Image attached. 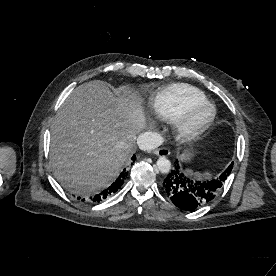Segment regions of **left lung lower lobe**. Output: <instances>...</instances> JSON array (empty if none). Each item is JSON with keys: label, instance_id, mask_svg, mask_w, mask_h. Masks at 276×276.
I'll return each mask as SVG.
<instances>
[{"label": "left lung lower lobe", "instance_id": "1", "mask_svg": "<svg viewBox=\"0 0 276 276\" xmlns=\"http://www.w3.org/2000/svg\"><path fill=\"white\" fill-rule=\"evenodd\" d=\"M232 167L233 162L216 179L197 181L188 173L180 171L177 162L164 180L163 189L176 206L193 210L209 203L217 196Z\"/></svg>", "mask_w": 276, "mask_h": 276}]
</instances>
